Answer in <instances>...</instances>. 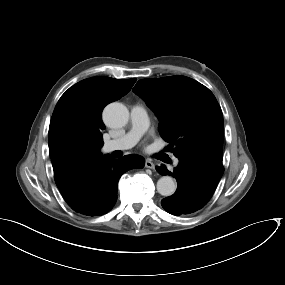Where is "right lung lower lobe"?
Listing matches in <instances>:
<instances>
[{
  "label": "right lung lower lobe",
  "instance_id": "98d812e1",
  "mask_svg": "<svg viewBox=\"0 0 285 285\" xmlns=\"http://www.w3.org/2000/svg\"><path fill=\"white\" fill-rule=\"evenodd\" d=\"M145 159L126 155L121 159L103 156L93 160L59 188L66 203L77 213L100 216L117 201L120 177L133 168H143Z\"/></svg>",
  "mask_w": 285,
  "mask_h": 285
}]
</instances>
